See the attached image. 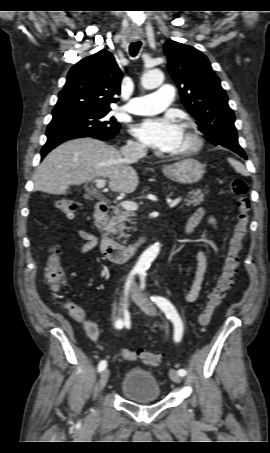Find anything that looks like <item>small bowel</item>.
<instances>
[{
    "label": "small bowel",
    "instance_id": "c3829d8e",
    "mask_svg": "<svg viewBox=\"0 0 270 453\" xmlns=\"http://www.w3.org/2000/svg\"><path fill=\"white\" fill-rule=\"evenodd\" d=\"M204 217H205L204 210L203 209L197 210L188 221L187 231L191 232ZM208 223L212 227H214L215 226L214 218L209 217ZM78 236H79V238L84 240V244H82L81 246L78 247L77 254L88 253L96 247L97 238L92 233L85 231V230H79ZM206 272H207V257L203 251H200L197 254V264H196L193 280H192L191 286L189 288V291L186 295V300L188 302H194L198 299L200 292H201V288H202V284H203ZM80 310L82 312V315L75 319L83 324L88 337L92 341H95V342L98 341V339H99L98 325L94 321H91L86 318L85 313L82 308H80ZM118 355L120 358L125 359V360H136L137 359V352H135L134 350L127 349V348L120 349L118 351Z\"/></svg>",
    "mask_w": 270,
    "mask_h": 453
}]
</instances>
